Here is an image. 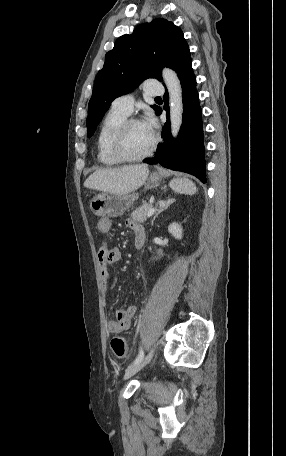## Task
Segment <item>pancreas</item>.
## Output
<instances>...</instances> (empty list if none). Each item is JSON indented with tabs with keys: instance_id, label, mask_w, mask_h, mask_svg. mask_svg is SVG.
<instances>
[{
	"instance_id": "obj_1",
	"label": "pancreas",
	"mask_w": 286,
	"mask_h": 456,
	"mask_svg": "<svg viewBox=\"0 0 286 456\" xmlns=\"http://www.w3.org/2000/svg\"><path fill=\"white\" fill-rule=\"evenodd\" d=\"M152 207L153 206L151 204L144 203L132 212L131 218L138 223H143L147 219L148 212Z\"/></svg>"
}]
</instances>
